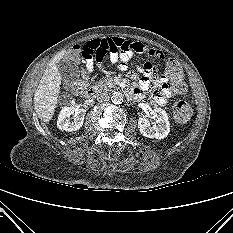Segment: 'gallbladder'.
<instances>
[{"mask_svg": "<svg viewBox=\"0 0 233 233\" xmlns=\"http://www.w3.org/2000/svg\"><path fill=\"white\" fill-rule=\"evenodd\" d=\"M58 71L63 79L76 80L80 76V69L75 62L62 59L57 63Z\"/></svg>", "mask_w": 233, "mask_h": 233, "instance_id": "obj_1", "label": "gallbladder"}]
</instances>
